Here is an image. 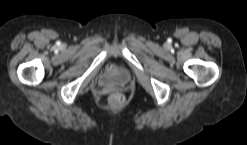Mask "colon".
Instances as JSON below:
<instances>
[{
    "label": "colon",
    "instance_id": "colon-1",
    "mask_svg": "<svg viewBox=\"0 0 247 145\" xmlns=\"http://www.w3.org/2000/svg\"><path fill=\"white\" fill-rule=\"evenodd\" d=\"M112 102L113 103H120L121 102V97L119 95L112 96Z\"/></svg>",
    "mask_w": 247,
    "mask_h": 145
}]
</instances>
